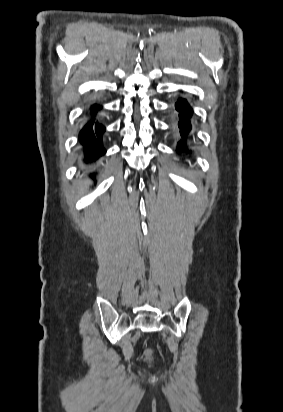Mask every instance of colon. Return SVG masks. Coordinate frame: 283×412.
<instances>
[{"mask_svg": "<svg viewBox=\"0 0 283 412\" xmlns=\"http://www.w3.org/2000/svg\"><path fill=\"white\" fill-rule=\"evenodd\" d=\"M150 356H151V353H148V354H147V358H150Z\"/></svg>", "mask_w": 283, "mask_h": 412, "instance_id": "colon-1", "label": "colon"}]
</instances>
